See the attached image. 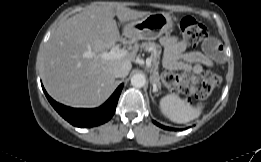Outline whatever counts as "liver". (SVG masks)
Returning <instances> with one entry per match:
<instances>
[{
  "mask_svg": "<svg viewBox=\"0 0 261 162\" xmlns=\"http://www.w3.org/2000/svg\"><path fill=\"white\" fill-rule=\"evenodd\" d=\"M151 14L111 3L95 6L64 21L51 35L42 61V78L55 100L73 107L92 108L102 104L113 90V69L135 61V48L120 59L105 60L100 54L120 40L114 22L121 23L123 41L136 40L128 24ZM132 66V65H131Z\"/></svg>",
  "mask_w": 261,
  "mask_h": 162,
  "instance_id": "obj_1",
  "label": "liver"
}]
</instances>
